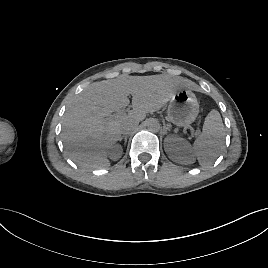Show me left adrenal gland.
<instances>
[{
    "mask_svg": "<svg viewBox=\"0 0 268 268\" xmlns=\"http://www.w3.org/2000/svg\"><path fill=\"white\" fill-rule=\"evenodd\" d=\"M168 130H169L168 127H166V126L164 125V126H163V134L166 135Z\"/></svg>",
    "mask_w": 268,
    "mask_h": 268,
    "instance_id": "obj_1",
    "label": "left adrenal gland"
}]
</instances>
